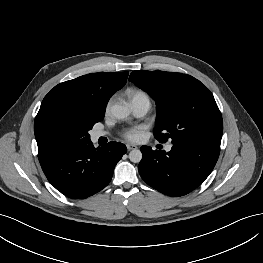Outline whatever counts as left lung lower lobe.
Segmentation results:
<instances>
[{
    "label": "left lung lower lobe",
    "mask_w": 263,
    "mask_h": 263,
    "mask_svg": "<svg viewBox=\"0 0 263 263\" xmlns=\"http://www.w3.org/2000/svg\"><path fill=\"white\" fill-rule=\"evenodd\" d=\"M221 142L172 143L171 151L142 146L138 166L142 179L169 196H183L197 188L212 172Z\"/></svg>",
    "instance_id": "1"
}]
</instances>
